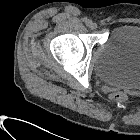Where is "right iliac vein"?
Instances as JSON below:
<instances>
[{"mask_svg": "<svg viewBox=\"0 0 140 140\" xmlns=\"http://www.w3.org/2000/svg\"><path fill=\"white\" fill-rule=\"evenodd\" d=\"M98 28V25L97 23L93 22L91 25H90V29L92 30H96Z\"/></svg>", "mask_w": 140, "mask_h": 140, "instance_id": "obj_1", "label": "right iliac vein"}]
</instances>
